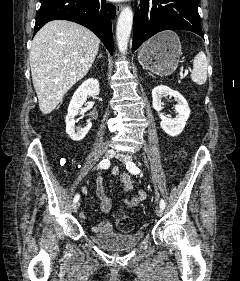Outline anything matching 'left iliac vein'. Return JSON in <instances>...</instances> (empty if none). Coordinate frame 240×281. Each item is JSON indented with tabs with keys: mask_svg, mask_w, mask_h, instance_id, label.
<instances>
[{
	"mask_svg": "<svg viewBox=\"0 0 240 281\" xmlns=\"http://www.w3.org/2000/svg\"><path fill=\"white\" fill-rule=\"evenodd\" d=\"M116 157L121 161L123 162L124 164H127V162H131L132 161V158L130 155L128 154H125V153H118L116 155ZM156 214L158 217H161L163 215V209L161 207H158L156 209Z\"/></svg>",
	"mask_w": 240,
	"mask_h": 281,
	"instance_id": "4c4485c4",
	"label": "left iliac vein"
}]
</instances>
